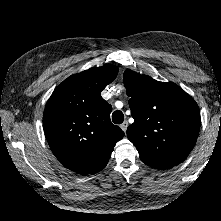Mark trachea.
Masks as SVG:
<instances>
[{
	"instance_id": "1",
	"label": "trachea",
	"mask_w": 221,
	"mask_h": 221,
	"mask_svg": "<svg viewBox=\"0 0 221 221\" xmlns=\"http://www.w3.org/2000/svg\"><path fill=\"white\" fill-rule=\"evenodd\" d=\"M112 121L115 124H121L124 121V115H123L122 111L116 110L112 114Z\"/></svg>"
}]
</instances>
